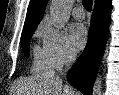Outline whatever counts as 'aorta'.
I'll return each mask as SVG.
<instances>
[{
  "label": "aorta",
  "mask_w": 119,
  "mask_h": 95,
  "mask_svg": "<svg viewBox=\"0 0 119 95\" xmlns=\"http://www.w3.org/2000/svg\"><path fill=\"white\" fill-rule=\"evenodd\" d=\"M73 2L74 0H52L50 16L56 28H62L68 23ZM92 94L102 95V77L99 74L95 80Z\"/></svg>",
  "instance_id": "762f6f07"
}]
</instances>
